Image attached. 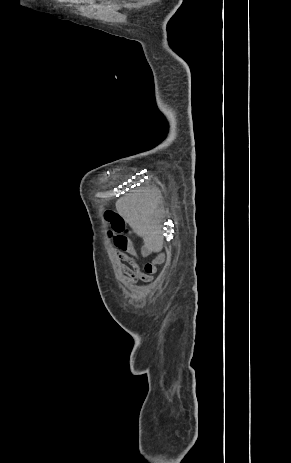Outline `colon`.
Segmentation results:
<instances>
[{"instance_id":"5ec220e1","label":"colon","mask_w":291,"mask_h":463,"mask_svg":"<svg viewBox=\"0 0 291 463\" xmlns=\"http://www.w3.org/2000/svg\"><path fill=\"white\" fill-rule=\"evenodd\" d=\"M105 218L111 225V233L116 236L128 235L130 233L125 221L121 216L113 211H106ZM147 270L151 269V265H147Z\"/></svg>"}]
</instances>
